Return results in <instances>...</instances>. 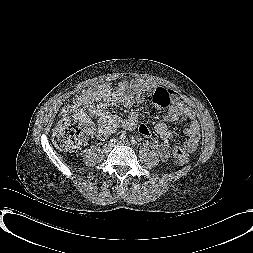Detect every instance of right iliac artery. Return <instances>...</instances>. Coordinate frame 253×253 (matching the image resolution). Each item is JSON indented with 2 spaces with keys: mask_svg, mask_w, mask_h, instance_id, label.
I'll return each mask as SVG.
<instances>
[{
  "mask_svg": "<svg viewBox=\"0 0 253 253\" xmlns=\"http://www.w3.org/2000/svg\"><path fill=\"white\" fill-rule=\"evenodd\" d=\"M116 142V139H111L110 140V143H115Z\"/></svg>",
  "mask_w": 253,
  "mask_h": 253,
  "instance_id": "obj_1",
  "label": "right iliac artery"
}]
</instances>
